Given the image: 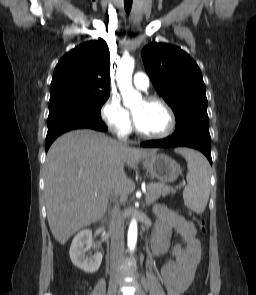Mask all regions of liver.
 I'll return each mask as SVG.
<instances>
[{
  "label": "liver",
  "mask_w": 256,
  "mask_h": 295,
  "mask_svg": "<svg viewBox=\"0 0 256 295\" xmlns=\"http://www.w3.org/2000/svg\"><path fill=\"white\" fill-rule=\"evenodd\" d=\"M157 149L130 148L93 130H74L57 138L44 166L48 224L65 244L78 230L100 220L112 188L125 196L133 190L124 166L135 168Z\"/></svg>",
  "instance_id": "6515ba94"
}]
</instances>
